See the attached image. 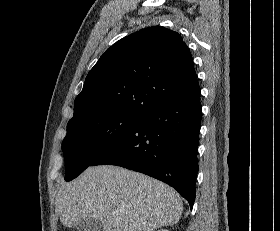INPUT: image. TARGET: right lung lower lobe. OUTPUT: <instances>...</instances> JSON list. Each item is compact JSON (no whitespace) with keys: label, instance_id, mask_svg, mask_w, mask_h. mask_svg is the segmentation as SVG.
<instances>
[{"label":"right lung lower lobe","instance_id":"1","mask_svg":"<svg viewBox=\"0 0 280 231\" xmlns=\"http://www.w3.org/2000/svg\"><path fill=\"white\" fill-rule=\"evenodd\" d=\"M201 115L200 93L161 104L90 166L116 165L147 174L175 188L192 208Z\"/></svg>","mask_w":280,"mask_h":231}]
</instances>
